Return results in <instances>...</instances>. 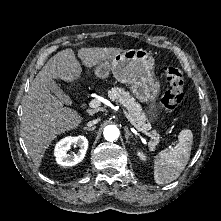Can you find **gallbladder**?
Wrapping results in <instances>:
<instances>
[{
  "mask_svg": "<svg viewBox=\"0 0 221 221\" xmlns=\"http://www.w3.org/2000/svg\"><path fill=\"white\" fill-rule=\"evenodd\" d=\"M47 87L52 93H54L63 103L71 104L70 98L64 94L58 84L54 80H50L47 83Z\"/></svg>",
  "mask_w": 221,
  "mask_h": 221,
  "instance_id": "obj_1",
  "label": "gallbladder"
}]
</instances>
